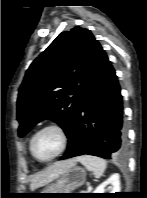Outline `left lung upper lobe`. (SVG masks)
<instances>
[{
	"mask_svg": "<svg viewBox=\"0 0 147 198\" xmlns=\"http://www.w3.org/2000/svg\"><path fill=\"white\" fill-rule=\"evenodd\" d=\"M97 44L90 30L76 26L60 33L32 62L17 100L20 137L44 119L58 123L69 135L82 102Z\"/></svg>",
	"mask_w": 147,
	"mask_h": 198,
	"instance_id": "1",
	"label": "left lung upper lobe"
}]
</instances>
